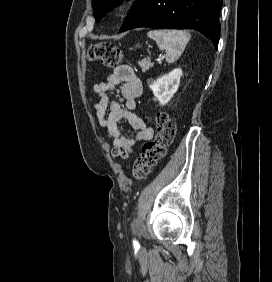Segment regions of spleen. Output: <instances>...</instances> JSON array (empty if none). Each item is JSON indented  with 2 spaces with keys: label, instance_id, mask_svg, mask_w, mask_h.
Instances as JSON below:
<instances>
[{
  "label": "spleen",
  "instance_id": "3e777b00",
  "mask_svg": "<svg viewBox=\"0 0 272 282\" xmlns=\"http://www.w3.org/2000/svg\"><path fill=\"white\" fill-rule=\"evenodd\" d=\"M148 37L155 40L159 49L166 52V61L175 62L183 53L191 35L180 30H151Z\"/></svg>",
  "mask_w": 272,
  "mask_h": 282
}]
</instances>
